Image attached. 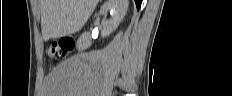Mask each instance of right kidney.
Wrapping results in <instances>:
<instances>
[{
    "label": "right kidney",
    "mask_w": 232,
    "mask_h": 96,
    "mask_svg": "<svg viewBox=\"0 0 232 96\" xmlns=\"http://www.w3.org/2000/svg\"><path fill=\"white\" fill-rule=\"evenodd\" d=\"M128 9V0H108L105 2L98 13V15H107L110 11L111 18L109 20L103 19L101 31L102 37L109 36L119 26L123 20ZM91 40L88 33H83L77 41V47L79 51H83L90 47Z\"/></svg>",
    "instance_id": "obj_1"
}]
</instances>
